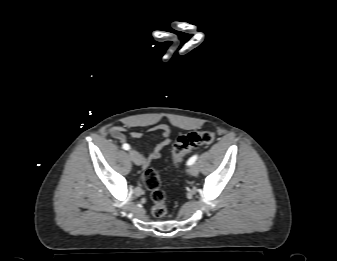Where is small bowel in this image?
<instances>
[{"instance_id": "obj_1", "label": "small bowel", "mask_w": 337, "mask_h": 261, "mask_svg": "<svg viewBox=\"0 0 337 261\" xmlns=\"http://www.w3.org/2000/svg\"><path fill=\"white\" fill-rule=\"evenodd\" d=\"M152 130L157 131L160 134L161 140L153 147L149 154H140L141 164L143 167H147L152 161L159 159L161 156V151L171 142V131L166 124H159L153 127ZM124 132L125 128L121 126H114L110 129V135L121 143L126 142V135ZM142 136L143 133L139 131H132L130 133V137L133 140H139Z\"/></svg>"}]
</instances>
